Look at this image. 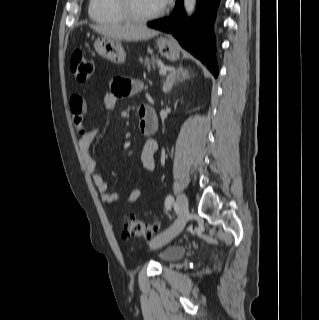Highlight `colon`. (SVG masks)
Here are the masks:
<instances>
[{"label":"colon","instance_id":"5ec220e1","mask_svg":"<svg viewBox=\"0 0 319 320\" xmlns=\"http://www.w3.org/2000/svg\"><path fill=\"white\" fill-rule=\"evenodd\" d=\"M71 71L79 82H86L93 73L92 60L81 50L73 51L70 61ZM158 222H145L131 217L124 225L122 235L126 239L136 237L152 238L158 231Z\"/></svg>","mask_w":319,"mask_h":320}]
</instances>
